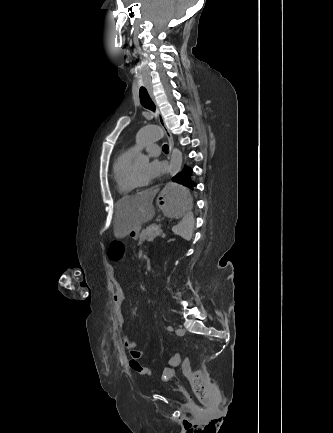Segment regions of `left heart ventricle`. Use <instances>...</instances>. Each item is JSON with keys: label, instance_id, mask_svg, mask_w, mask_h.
Listing matches in <instances>:
<instances>
[{"label": "left heart ventricle", "instance_id": "left-heart-ventricle-1", "mask_svg": "<svg viewBox=\"0 0 333 433\" xmlns=\"http://www.w3.org/2000/svg\"><path fill=\"white\" fill-rule=\"evenodd\" d=\"M146 152V160L136 161L134 163V172H135V180L137 183H146V168L149 163V159H153L155 155L150 154L149 152Z\"/></svg>", "mask_w": 333, "mask_h": 433}]
</instances>
